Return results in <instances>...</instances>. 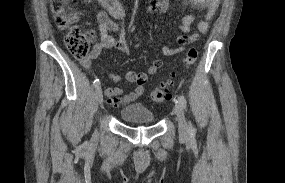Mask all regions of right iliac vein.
<instances>
[{"mask_svg": "<svg viewBox=\"0 0 285 183\" xmlns=\"http://www.w3.org/2000/svg\"><path fill=\"white\" fill-rule=\"evenodd\" d=\"M95 96H96L97 102L100 105H102V103H103V94H102L101 88L99 86L95 87Z\"/></svg>", "mask_w": 285, "mask_h": 183, "instance_id": "right-iliac-vein-1", "label": "right iliac vein"}]
</instances>
